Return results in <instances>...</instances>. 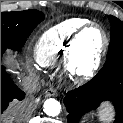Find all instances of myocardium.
Instances as JSON below:
<instances>
[{"label": "myocardium", "mask_w": 123, "mask_h": 123, "mask_svg": "<svg viewBox=\"0 0 123 123\" xmlns=\"http://www.w3.org/2000/svg\"><path fill=\"white\" fill-rule=\"evenodd\" d=\"M96 27L103 37V43L97 52L94 60L92 63H90L88 66L83 67L82 66V60L77 52V45L79 40L82 38V36L88 31L89 28ZM109 45V37L105 29L95 22H88L86 23L74 36L70 50H69V56L68 60L66 62V67L69 72V74L76 80H87L95 75L98 68L100 67V64L102 62V59L107 51Z\"/></svg>", "instance_id": "obj_1"}]
</instances>
